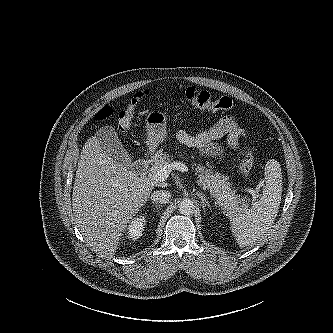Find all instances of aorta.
<instances>
[{"label":"aorta","instance_id":"762f6f07","mask_svg":"<svg viewBox=\"0 0 333 333\" xmlns=\"http://www.w3.org/2000/svg\"><path fill=\"white\" fill-rule=\"evenodd\" d=\"M195 205L192 200L190 199H183L179 203V212L183 215H191L194 213Z\"/></svg>","mask_w":333,"mask_h":333}]
</instances>
